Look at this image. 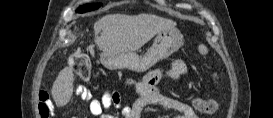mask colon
I'll return each instance as SVG.
<instances>
[{
  "instance_id": "1",
  "label": "colon",
  "mask_w": 273,
  "mask_h": 118,
  "mask_svg": "<svg viewBox=\"0 0 273 118\" xmlns=\"http://www.w3.org/2000/svg\"><path fill=\"white\" fill-rule=\"evenodd\" d=\"M71 67L77 76L83 81H89L91 78V67L87 56L77 50L71 56ZM39 112L41 118H49L51 115V99L47 92L42 91L39 94ZM195 107L202 113H214L218 109V102L214 99L197 100L195 101Z\"/></svg>"
}]
</instances>
